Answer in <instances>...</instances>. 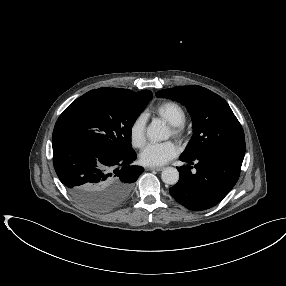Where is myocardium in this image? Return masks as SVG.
Wrapping results in <instances>:
<instances>
[{
	"instance_id": "1",
	"label": "myocardium",
	"mask_w": 286,
	"mask_h": 286,
	"mask_svg": "<svg viewBox=\"0 0 286 286\" xmlns=\"http://www.w3.org/2000/svg\"><path fill=\"white\" fill-rule=\"evenodd\" d=\"M171 134L173 137L182 140L186 135V129L184 125H171Z\"/></svg>"
}]
</instances>
